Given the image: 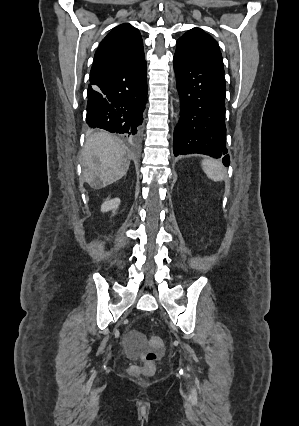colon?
<instances>
[{
	"label": "colon",
	"instance_id": "1",
	"mask_svg": "<svg viewBox=\"0 0 299 426\" xmlns=\"http://www.w3.org/2000/svg\"><path fill=\"white\" fill-rule=\"evenodd\" d=\"M148 343L152 349L144 355L145 366H134L129 369V372L134 376L150 375L154 371V364L159 357L158 350L163 347V341L160 337L152 336L148 339Z\"/></svg>",
	"mask_w": 299,
	"mask_h": 426
}]
</instances>
